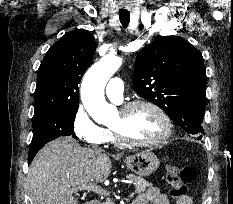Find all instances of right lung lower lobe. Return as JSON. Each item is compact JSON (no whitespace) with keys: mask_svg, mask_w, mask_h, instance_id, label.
<instances>
[{"mask_svg":"<svg viewBox=\"0 0 233 204\" xmlns=\"http://www.w3.org/2000/svg\"><path fill=\"white\" fill-rule=\"evenodd\" d=\"M42 148V147H41ZM38 147H34V148H30L29 150V155H28V164L31 163V161L33 160L34 156L36 155V153L41 149Z\"/></svg>","mask_w":233,"mask_h":204,"instance_id":"98d812e1","label":"right lung lower lobe"}]
</instances>
